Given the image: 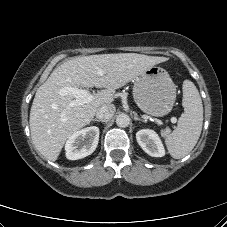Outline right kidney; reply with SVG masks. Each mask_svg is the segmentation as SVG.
Wrapping results in <instances>:
<instances>
[{"mask_svg": "<svg viewBox=\"0 0 227 227\" xmlns=\"http://www.w3.org/2000/svg\"><path fill=\"white\" fill-rule=\"evenodd\" d=\"M99 141V128L90 126L74 132L66 141L65 151L69 160H78L92 154Z\"/></svg>", "mask_w": 227, "mask_h": 227, "instance_id": "ca27d5eb", "label": "right kidney"}]
</instances>
